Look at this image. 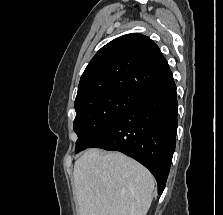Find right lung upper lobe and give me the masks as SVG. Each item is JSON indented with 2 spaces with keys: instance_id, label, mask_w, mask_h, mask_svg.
I'll return each instance as SVG.
<instances>
[{
  "instance_id": "right-lung-upper-lobe-1",
  "label": "right lung upper lobe",
  "mask_w": 223,
  "mask_h": 215,
  "mask_svg": "<svg viewBox=\"0 0 223 215\" xmlns=\"http://www.w3.org/2000/svg\"><path fill=\"white\" fill-rule=\"evenodd\" d=\"M173 80L158 46L138 33L123 35L106 44L84 70L75 106L114 90L139 95Z\"/></svg>"
}]
</instances>
